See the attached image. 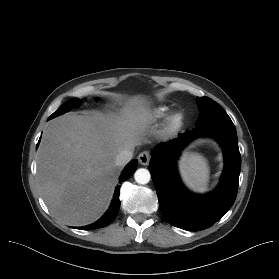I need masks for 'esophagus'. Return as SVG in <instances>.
Masks as SVG:
<instances>
[{"label": "esophagus", "instance_id": "esophagus-1", "mask_svg": "<svg viewBox=\"0 0 279 279\" xmlns=\"http://www.w3.org/2000/svg\"><path fill=\"white\" fill-rule=\"evenodd\" d=\"M139 162L146 166L150 162V153L148 151H143L138 155Z\"/></svg>", "mask_w": 279, "mask_h": 279}]
</instances>
